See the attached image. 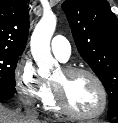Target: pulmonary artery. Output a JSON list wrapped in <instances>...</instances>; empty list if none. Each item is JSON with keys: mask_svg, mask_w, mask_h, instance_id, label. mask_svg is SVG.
Masks as SVG:
<instances>
[{"mask_svg": "<svg viewBox=\"0 0 118 123\" xmlns=\"http://www.w3.org/2000/svg\"><path fill=\"white\" fill-rule=\"evenodd\" d=\"M53 54L62 62H66L71 55V46L63 36H55L51 41Z\"/></svg>", "mask_w": 118, "mask_h": 123, "instance_id": "e3ab8cb5", "label": "pulmonary artery"}]
</instances>
